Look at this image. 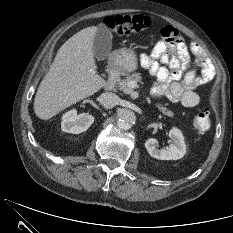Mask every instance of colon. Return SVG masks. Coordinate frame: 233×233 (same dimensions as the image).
I'll return each mask as SVG.
<instances>
[{"label": "colon", "instance_id": "colon-1", "mask_svg": "<svg viewBox=\"0 0 233 233\" xmlns=\"http://www.w3.org/2000/svg\"><path fill=\"white\" fill-rule=\"evenodd\" d=\"M105 25L115 34L126 35L139 33L147 29L151 21L144 15H116L105 19ZM195 130L202 134L210 128V117L207 111L198 113L193 121Z\"/></svg>", "mask_w": 233, "mask_h": 233}]
</instances>
